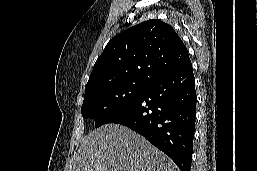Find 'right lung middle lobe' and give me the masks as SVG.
Segmentation results:
<instances>
[{"instance_id":"dd1d6c3e","label":"right lung middle lobe","mask_w":257,"mask_h":171,"mask_svg":"<svg viewBox=\"0 0 257 171\" xmlns=\"http://www.w3.org/2000/svg\"><path fill=\"white\" fill-rule=\"evenodd\" d=\"M146 83H116L85 92L81 113L94 118L96 127L134 101L148 86Z\"/></svg>"}]
</instances>
